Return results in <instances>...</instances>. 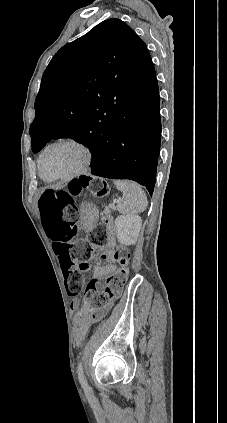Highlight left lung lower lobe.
I'll return each instance as SVG.
<instances>
[{
	"mask_svg": "<svg viewBox=\"0 0 227 423\" xmlns=\"http://www.w3.org/2000/svg\"><path fill=\"white\" fill-rule=\"evenodd\" d=\"M160 137V97L155 75L139 111L107 112L97 131L78 141L93 154V175L136 181L152 195Z\"/></svg>",
	"mask_w": 227,
	"mask_h": 423,
	"instance_id": "left-lung-lower-lobe-1",
	"label": "left lung lower lobe"
}]
</instances>
